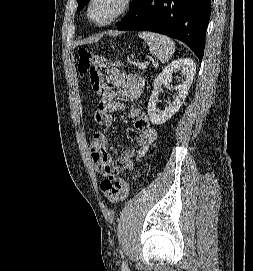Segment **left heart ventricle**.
Returning <instances> with one entry per match:
<instances>
[{"label": "left heart ventricle", "mask_w": 253, "mask_h": 271, "mask_svg": "<svg viewBox=\"0 0 253 271\" xmlns=\"http://www.w3.org/2000/svg\"><path fill=\"white\" fill-rule=\"evenodd\" d=\"M121 0H96L91 15L97 22H104L114 15L120 7Z\"/></svg>", "instance_id": "left-heart-ventricle-1"}]
</instances>
